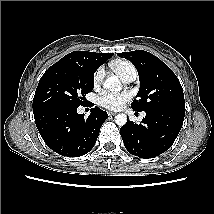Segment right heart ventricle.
I'll return each instance as SVG.
<instances>
[{
	"label": "right heart ventricle",
	"instance_id": "1",
	"mask_svg": "<svg viewBox=\"0 0 214 214\" xmlns=\"http://www.w3.org/2000/svg\"><path fill=\"white\" fill-rule=\"evenodd\" d=\"M112 67H113L114 71L120 77H122V75L124 74V72L126 70H128V69H130L131 67H134V66L128 61H117V62L112 64Z\"/></svg>",
	"mask_w": 214,
	"mask_h": 214
}]
</instances>
